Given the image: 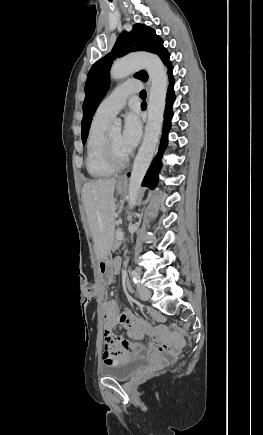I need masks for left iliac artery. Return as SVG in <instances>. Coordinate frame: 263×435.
I'll list each match as a JSON object with an SVG mask.
<instances>
[{
    "instance_id": "left-iliac-artery-1",
    "label": "left iliac artery",
    "mask_w": 263,
    "mask_h": 435,
    "mask_svg": "<svg viewBox=\"0 0 263 435\" xmlns=\"http://www.w3.org/2000/svg\"><path fill=\"white\" fill-rule=\"evenodd\" d=\"M131 275L133 277L134 283L137 284V286L140 285V275L136 270L131 271Z\"/></svg>"
}]
</instances>
